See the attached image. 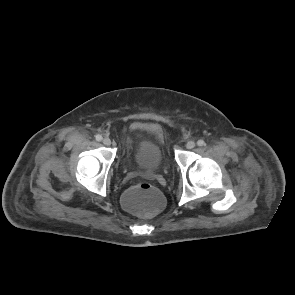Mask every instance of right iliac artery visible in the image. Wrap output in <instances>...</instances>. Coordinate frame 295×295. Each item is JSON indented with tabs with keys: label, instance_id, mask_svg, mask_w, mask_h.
<instances>
[{
	"label": "right iliac artery",
	"instance_id": "1",
	"mask_svg": "<svg viewBox=\"0 0 295 295\" xmlns=\"http://www.w3.org/2000/svg\"><path fill=\"white\" fill-rule=\"evenodd\" d=\"M95 138H96V140H97V141H102V139H103V138H102V136H101V135H99V134H98V135H96V136H95Z\"/></svg>",
	"mask_w": 295,
	"mask_h": 295
}]
</instances>
